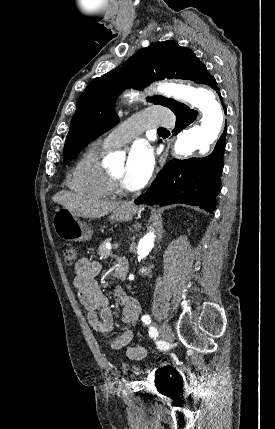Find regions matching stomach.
<instances>
[{
    "mask_svg": "<svg viewBox=\"0 0 275 429\" xmlns=\"http://www.w3.org/2000/svg\"><path fill=\"white\" fill-rule=\"evenodd\" d=\"M137 209L124 203L118 206L117 209L109 216L110 221H129L136 214ZM53 227L56 234L70 241H87L92 237V230L82 223L76 215L66 208H60L53 216Z\"/></svg>",
    "mask_w": 275,
    "mask_h": 429,
    "instance_id": "0dacf381",
    "label": "stomach"
}]
</instances>
